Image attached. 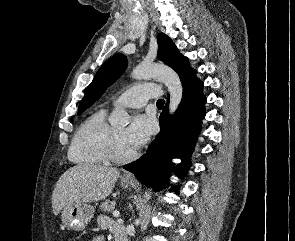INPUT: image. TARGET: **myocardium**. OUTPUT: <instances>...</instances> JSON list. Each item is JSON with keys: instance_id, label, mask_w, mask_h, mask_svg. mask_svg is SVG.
<instances>
[{"instance_id": "myocardium-1", "label": "myocardium", "mask_w": 295, "mask_h": 241, "mask_svg": "<svg viewBox=\"0 0 295 241\" xmlns=\"http://www.w3.org/2000/svg\"><path fill=\"white\" fill-rule=\"evenodd\" d=\"M106 153L109 160H111L112 162H117V163L131 161L137 156L136 151H133L128 154H124L120 152L113 129H111L109 137H108Z\"/></svg>"}]
</instances>
